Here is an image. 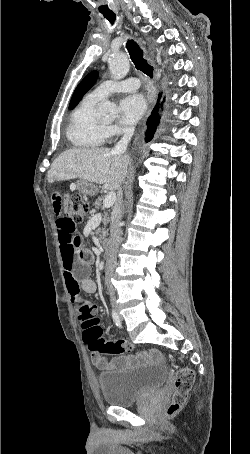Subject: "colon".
Listing matches in <instances>:
<instances>
[{
  "instance_id": "colon-1",
  "label": "colon",
  "mask_w": 250,
  "mask_h": 454,
  "mask_svg": "<svg viewBox=\"0 0 250 454\" xmlns=\"http://www.w3.org/2000/svg\"><path fill=\"white\" fill-rule=\"evenodd\" d=\"M89 205L80 195L72 196L69 205V218L77 224L80 223L88 213ZM83 328V340L92 352L106 355H121L130 352L131 345L123 340L108 341L104 338L103 328L100 325V318L96 314L88 313L80 320ZM194 383V373L189 368H178L175 373V391L167 413H177L187 400L188 394Z\"/></svg>"
}]
</instances>
